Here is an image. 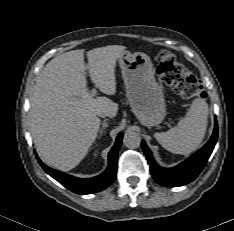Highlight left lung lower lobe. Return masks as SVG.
Here are the masks:
<instances>
[{"label":"left lung lower lobe","instance_id":"left-lung-lower-lobe-1","mask_svg":"<svg viewBox=\"0 0 234 231\" xmlns=\"http://www.w3.org/2000/svg\"><path fill=\"white\" fill-rule=\"evenodd\" d=\"M218 136L217 122L215 119L214 132L210 140L194 155L173 168H163L153 159L151 151L144 141L142 149L150 164V171L157 183L166 187H177L192 182L206 165L210 154L216 144Z\"/></svg>","mask_w":234,"mask_h":231}]
</instances>
